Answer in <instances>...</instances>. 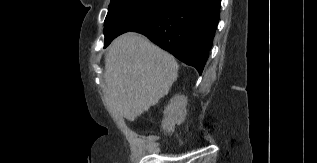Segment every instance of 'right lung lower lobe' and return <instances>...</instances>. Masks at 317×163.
Instances as JSON below:
<instances>
[{
  "mask_svg": "<svg viewBox=\"0 0 317 163\" xmlns=\"http://www.w3.org/2000/svg\"><path fill=\"white\" fill-rule=\"evenodd\" d=\"M220 3L221 0H172L156 16L129 31L147 36L201 75L218 24Z\"/></svg>",
  "mask_w": 317,
  "mask_h": 163,
  "instance_id": "1",
  "label": "right lung lower lobe"
}]
</instances>
